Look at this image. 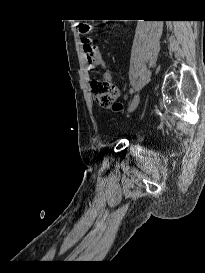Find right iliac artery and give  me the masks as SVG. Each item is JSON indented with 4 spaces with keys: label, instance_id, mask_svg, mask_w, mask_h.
I'll return each mask as SVG.
<instances>
[{
    "label": "right iliac artery",
    "instance_id": "1",
    "mask_svg": "<svg viewBox=\"0 0 205 273\" xmlns=\"http://www.w3.org/2000/svg\"><path fill=\"white\" fill-rule=\"evenodd\" d=\"M130 93H131V94L133 93V90H132V89L130 90Z\"/></svg>",
    "mask_w": 205,
    "mask_h": 273
}]
</instances>
